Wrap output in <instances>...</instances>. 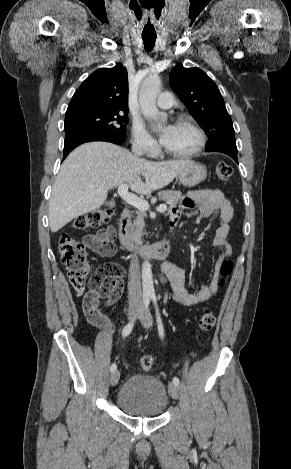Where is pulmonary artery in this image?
I'll use <instances>...</instances> for the list:
<instances>
[{
  "label": "pulmonary artery",
  "instance_id": "pulmonary-artery-1",
  "mask_svg": "<svg viewBox=\"0 0 291 469\" xmlns=\"http://www.w3.org/2000/svg\"><path fill=\"white\" fill-rule=\"evenodd\" d=\"M173 96L169 92H162L157 99V106L162 109H169L173 106Z\"/></svg>",
  "mask_w": 291,
  "mask_h": 469
}]
</instances>
